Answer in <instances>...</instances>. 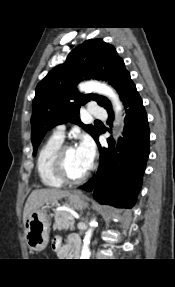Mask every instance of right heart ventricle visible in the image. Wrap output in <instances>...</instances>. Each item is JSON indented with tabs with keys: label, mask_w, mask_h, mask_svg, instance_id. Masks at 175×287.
<instances>
[{
	"label": "right heart ventricle",
	"mask_w": 175,
	"mask_h": 287,
	"mask_svg": "<svg viewBox=\"0 0 175 287\" xmlns=\"http://www.w3.org/2000/svg\"><path fill=\"white\" fill-rule=\"evenodd\" d=\"M62 142L63 139L52 135L42 144L39 149L36 160V170L41 183L47 187L60 188L64 184V182L55 176L52 168L54 153Z\"/></svg>",
	"instance_id": "right-heart-ventricle-1"
}]
</instances>
